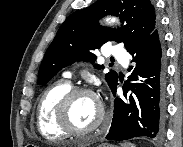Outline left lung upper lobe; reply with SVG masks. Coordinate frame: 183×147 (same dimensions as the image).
<instances>
[{"label": "left lung upper lobe", "mask_w": 183, "mask_h": 147, "mask_svg": "<svg viewBox=\"0 0 183 147\" xmlns=\"http://www.w3.org/2000/svg\"><path fill=\"white\" fill-rule=\"evenodd\" d=\"M108 14L126 21L125 29L120 31L99 26V18ZM157 27L159 21L150 0H97L91 6L72 13L60 26L45 53L37 83L45 85L62 68L75 61L94 62L95 55L90 51L99 49L107 41L123 42L129 51ZM95 67L104 68L98 64ZM105 79L112 89L118 81V74L111 70Z\"/></svg>", "instance_id": "1"}]
</instances>
